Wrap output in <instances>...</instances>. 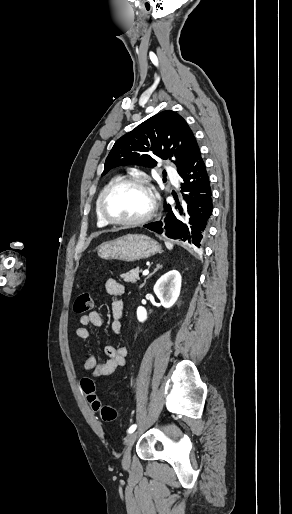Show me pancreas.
<instances>
[{"mask_svg": "<svg viewBox=\"0 0 292 514\" xmlns=\"http://www.w3.org/2000/svg\"><path fill=\"white\" fill-rule=\"evenodd\" d=\"M139 272V268H135V270H130V272H127V274H121L120 278H122L124 282H132V284H135L137 280H140Z\"/></svg>", "mask_w": 292, "mask_h": 514, "instance_id": "1", "label": "pancreas"}]
</instances>
